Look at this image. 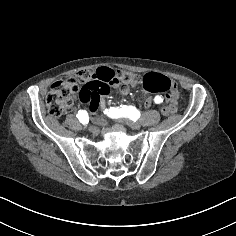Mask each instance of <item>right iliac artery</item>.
I'll list each match as a JSON object with an SVG mask.
<instances>
[{
    "instance_id": "82829eb1",
    "label": "right iliac artery",
    "mask_w": 236,
    "mask_h": 236,
    "mask_svg": "<svg viewBox=\"0 0 236 236\" xmlns=\"http://www.w3.org/2000/svg\"><path fill=\"white\" fill-rule=\"evenodd\" d=\"M76 117L83 125L89 122V116L86 110H79Z\"/></svg>"
}]
</instances>
